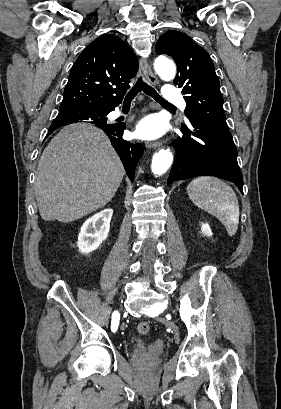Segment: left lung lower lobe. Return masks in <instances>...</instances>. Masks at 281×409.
<instances>
[{"label":"left lung lower lobe","mask_w":281,"mask_h":409,"mask_svg":"<svg viewBox=\"0 0 281 409\" xmlns=\"http://www.w3.org/2000/svg\"><path fill=\"white\" fill-rule=\"evenodd\" d=\"M192 130L183 125L182 136L172 145L176 150L167 185L179 179L212 175L232 181L243 193V177L237 163V149L229 129L201 119L189 118Z\"/></svg>","instance_id":"left-lung-lower-lobe-1"}]
</instances>
